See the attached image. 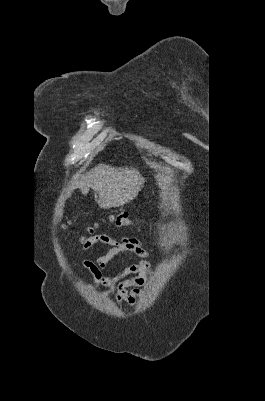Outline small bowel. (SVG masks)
Returning a JSON list of instances; mask_svg holds the SVG:
<instances>
[{
    "label": "small bowel",
    "mask_w": 265,
    "mask_h": 401,
    "mask_svg": "<svg viewBox=\"0 0 265 401\" xmlns=\"http://www.w3.org/2000/svg\"><path fill=\"white\" fill-rule=\"evenodd\" d=\"M98 243L109 245V249L96 261L80 260L81 265L89 270L93 276V281L86 284V286L92 288L104 285L107 289L101 293L102 297L114 293L118 306L125 302L134 307L137 300L142 296L140 287L148 284V278L151 274L150 263L146 260H141L112 276H106L104 270L107 264L117 255L131 252L145 258L148 256V252L144 249L142 243L135 238L123 237L121 240H115L107 235H95L88 238L82 250H87Z\"/></svg>",
    "instance_id": "1"
}]
</instances>
